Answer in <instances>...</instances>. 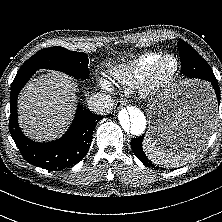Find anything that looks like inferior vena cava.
<instances>
[{
	"label": "inferior vena cava",
	"instance_id": "1",
	"mask_svg": "<svg viewBox=\"0 0 222 222\" xmlns=\"http://www.w3.org/2000/svg\"><path fill=\"white\" fill-rule=\"evenodd\" d=\"M113 104L111 96L103 93H97L90 97L88 101V108L94 113L106 115L111 112Z\"/></svg>",
	"mask_w": 222,
	"mask_h": 222
}]
</instances>
